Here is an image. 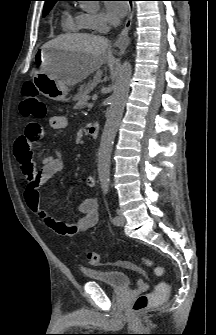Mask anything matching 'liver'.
<instances>
[{
  "label": "liver",
  "instance_id": "obj_1",
  "mask_svg": "<svg viewBox=\"0 0 216 335\" xmlns=\"http://www.w3.org/2000/svg\"><path fill=\"white\" fill-rule=\"evenodd\" d=\"M76 53L69 66L54 77L64 84L73 86L94 71L103 63H111L112 57L106 53L109 41L105 37L88 34H66L49 41L44 45Z\"/></svg>",
  "mask_w": 216,
  "mask_h": 335
}]
</instances>
